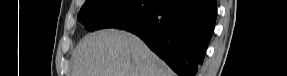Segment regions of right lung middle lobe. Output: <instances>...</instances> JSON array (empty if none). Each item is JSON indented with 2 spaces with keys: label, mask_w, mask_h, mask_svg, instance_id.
I'll use <instances>...</instances> for the list:
<instances>
[{
  "label": "right lung middle lobe",
  "mask_w": 287,
  "mask_h": 76,
  "mask_svg": "<svg viewBox=\"0 0 287 76\" xmlns=\"http://www.w3.org/2000/svg\"><path fill=\"white\" fill-rule=\"evenodd\" d=\"M157 0H89L77 19L88 31L103 28L123 29L146 20L155 10Z\"/></svg>",
  "instance_id": "right-lung-middle-lobe-1"
}]
</instances>
